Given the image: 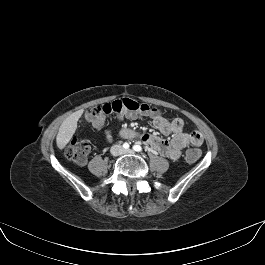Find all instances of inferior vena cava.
Listing matches in <instances>:
<instances>
[{
  "label": "inferior vena cava",
  "instance_id": "inferior-vena-cava-1",
  "mask_svg": "<svg viewBox=\"0 0 265 265\" xmlns=\"http://www.w3.org/2000/svg\"><path fill=\"white\" fill-rule=\"evenodd\" d=\"M124 152L122 146L120 145H113L111 147V154L114 156L121 155Z\"/></svg>",
  "mask_w": 265,
  "mask_h": 265
}]
</instances>
